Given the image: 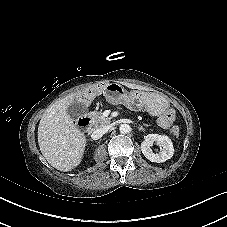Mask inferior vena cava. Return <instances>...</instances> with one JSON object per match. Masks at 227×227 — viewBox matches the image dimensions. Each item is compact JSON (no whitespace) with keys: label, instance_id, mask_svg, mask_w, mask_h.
<instances>
[{"label":"inferior vena cava","instance_id":"1","mask_svg":"<svg viewBox=\"0 0 227 227\" xmlns=\"http://www.w3.org/2000/svg\"><path fill=\"white\" fill-rule=\"evenodd\" d=\"M109 130V126H105L102 128H98L95 131H93L91 138L94 140L100 139L105 133H107Z\"/></svg>","mask_w":227,"mask_h":227}]
</instances>
